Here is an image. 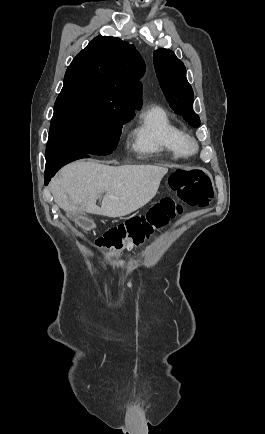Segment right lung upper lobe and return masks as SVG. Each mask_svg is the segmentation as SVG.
<instances>
[{
	"instance_id": "obj_1",
	"label": "right lung upper lobe",
	"mask_w": 265,
	"mask_h": 434,
	"mask_svg": "<svg viewBox=\"0 0 265 434\" xmlns=\"http://www.w3.org/2000/svg\"><path fill=\"white\" fill-rule=\"evenodd\" d=\"M144 71V61L135 46L116 37L97 36L69 65L64 86L90 85L141 104L142 85L138 80Z\"/></svg>"
}]
</instances>
